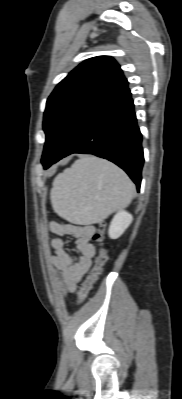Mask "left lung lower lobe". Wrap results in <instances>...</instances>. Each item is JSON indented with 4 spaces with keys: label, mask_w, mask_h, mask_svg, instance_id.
<instances>
[{
    "label": "left lung lower lobe",
    "mask_w": 182,
    "mask_h": 399,
    "mask_svg": "<svg viewBox=\"0 0 182 399\" xmlns=\"http://www.w3.org/2000/svg\"><path fill=\"white\" fill-rule=\"evenodd\" d=\"M141 142L127 86L93 112L61 154L45 164L44 169L73 153L93 154L126 171L139 191L144 163Z\"/></svg>",
    "instance_id": "left-lung-lower-lobe-1"
}]
</instances>
